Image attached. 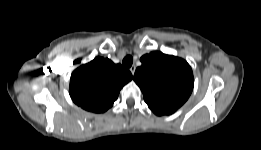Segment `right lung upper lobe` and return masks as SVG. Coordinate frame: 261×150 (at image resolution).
<instances>
[{"label":"right lung upper lobe","mask_w":261,"mask_h":150,"mask_svg":"<svg viewBox=\"0 0 261 150\" xmlns=\"http://www.w3.org/2000/svg\"><path fill=\"white\" fill-rule=\"evenodd\" d=\"M130 80L132 74L129 70L110 59L96 57L73 71L69 92L78 106L101 113L113 105L120 89Z\"/></svg>","instance_id":"cb5924a9"}]
</instances>
